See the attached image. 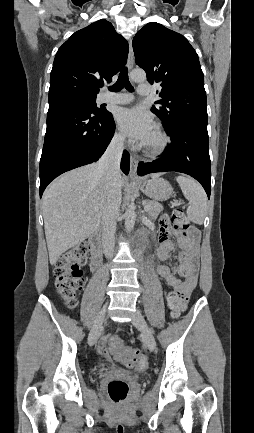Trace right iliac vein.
<instances>
[{
  "label": "right iliac vein",
  "instance_id": "63e3f726",
  "mask_svg": "<svg viewBox=\"0 0 254 433\" xmlns=\"http://www.w3.org/2000/svg\"><path fill=\"white\" fill-rule=\"evenodd\" d=\"M105 312H106V310L103 309L97 317V320H96V322H95V324H94V326H93V328L89 334V337H88V344L89 345H92L97 338V335L101 329V326L105 321Z\"/></svg>",
  "mask_w": 254,
  "mask_h": 433
}]
</instances>
